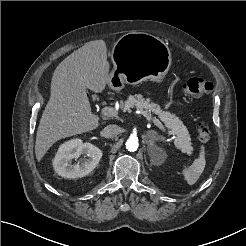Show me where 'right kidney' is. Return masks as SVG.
Masks as SVG:
<instances>
[{
	"label": "right kidney",
	"instance_id": "1",
	"mask_svg": "<svg viewBox=\"0 0 246 246\" xmlns=\"http://www.w3.org/2000/svg\"><path fill=\"white\" fill-rule=\"evenodd\" d=\"M84 158L79 163L72 159ZM102 157V151L91 143H83L81 139L64 142L53 160L55 172L64 178H81L93 171Z\"/></svg>",
	"mask_w": 246,
	"mask_h": 246
}]
</instances>
